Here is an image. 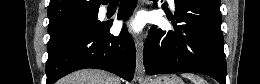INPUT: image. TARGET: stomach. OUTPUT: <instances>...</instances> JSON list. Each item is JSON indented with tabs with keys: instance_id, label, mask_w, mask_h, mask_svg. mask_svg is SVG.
Returning <instances> with one entry per match:
<instances>
[{
	"instance_id": "1",
	"label": "stomach",
	"mask_w": 260,
	"mask_h": 84,
	"mask_svg": "<svg viewBox=\"0 0 260 84\" xmlns=\"http://www.w3.org/2000/svg\"><path fill=\"white\" fill-rule=\"evenodd\" d=\"M150 84H184V82L175 74H166L153 79Z\"/></svg>"
}]
</instances>
